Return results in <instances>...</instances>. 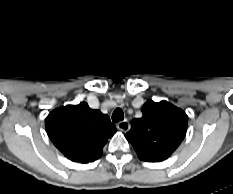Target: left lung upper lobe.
<instances>
[{
    "instance_id": "obj_1",
    "label": "left lung upper lobe",
    "mask_w": 233,
    "mask_h": 194,
    "mask_svg": "<svg viewBox=\"0 0 233 194\" xmlns=\"http://www.w3.org/2000/svg\"><path fill=\"white\" fill-rule=\"evenodd\" d=\"M143 116L132 121L131 130L125 134L138 157L147 162L167 159L186 135L187 115L166 101H147Z\"/></svg>"
}]
</instances>
